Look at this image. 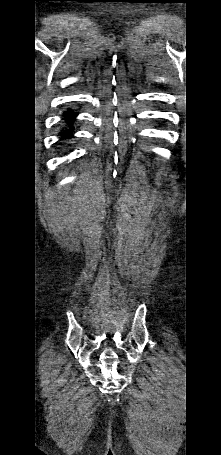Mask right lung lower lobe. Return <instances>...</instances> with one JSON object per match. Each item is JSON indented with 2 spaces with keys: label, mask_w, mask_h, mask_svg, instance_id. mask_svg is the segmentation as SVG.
<instances>
[{
  "label": "right lung lower lobe",
  "mask_w": 221,
  "mask_h": 455,
  "mask_svg": "<svg viewBox=\"0 0 221 455\" xmlns=\"http://www.w3.org/2000/svg\"><path fill=\"white\" fill-rule=\"evenodd\" d=\"M76 115L77 113H75L71 109H69L65 114H63V116L65 117L64 122L66 126L60 132L61 140L70 139L73 136L74 132L73 122L75 120Z\"/></svg>",
  "instance_id": "1"
}]
</instances>
